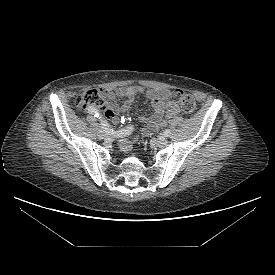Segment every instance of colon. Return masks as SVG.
<instances>
[{
    "label": "colon",
    "instance_id": "5ec220e1",
    "mask_svg": "<svg viewBox=\"0 0 275 275\" xmlns=\"http://www.w3.org/2000/svg\"><path fill=\"white\" fill-rule=\"evenodd\" d=\"M170 97L181 106L186 114L191 115L195 112L196 102L190 93L184 90H175L170 93ZM76 103L83 108L93 106L102 110L105 109L107 104L103 94L96 89H89L82 92L77 97Z\"/></svg>",
    "mask_w": 275,
    "mask_h": 275
}]
</instances>
